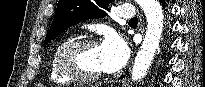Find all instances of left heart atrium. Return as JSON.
Wrapping results in <instances>:
<instances>
[{
	"mask_svg": "<svg viewBox=\"0 0 205 87\" xmlns=\"http://www.w3.org/2000/svg\"><path fill=\"white\" fill-rule=\"evenodd\" d=\"M102 68L109 72L120 69L127 61L129 51L122 38L114 33L106 36L99 46Z\"/></svg>",
	"mask_w": 205,
	"mask_h": 87,
	"instance_id": "obj_1",
	"label": "left heart atrium"
}]
</instances>
